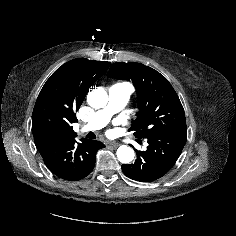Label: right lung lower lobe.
Wrapping results in <instances>:
<instances>
[{"label":"right lung lower lobe","mask_w":236,"mask_h":236,"mask_svg":"<svg viewBox=\"0 0 236 236\" xmlns=\"http://www.w3.org/2000/svg\"><path fill=\"white\" fill-rule=\"evenodd\" d=\"M47 168L58 178L77 181L88 176L96 162V152L105 145L97 140L74 139L35 144Z\"/></svg>","instance_id":"98d812e1"}]
</instances>
